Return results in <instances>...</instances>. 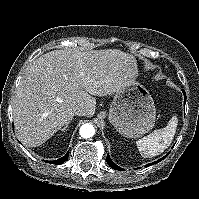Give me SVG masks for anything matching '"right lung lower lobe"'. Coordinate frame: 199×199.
Segmentation results:
<instances>
[{"label": "right lung lower lobe", "mask_w": 199, "mask_h": 199, "mask_svg": "<svg viewBox=\"0 0 199 199\" xmlns=\"http://www.w3.org/2000/svg\"><path fill=\"white\" fill-rule=\"evenodd\" d=\"M68 156H69V152H67V154L65 156H63L62 158L58 159V160H55V161H47L49 163H53V164H62L64 163L67 159H68Z\"/></svg>", "instance_id": "right-lung-lower-lobe-1"}]
</instances>
